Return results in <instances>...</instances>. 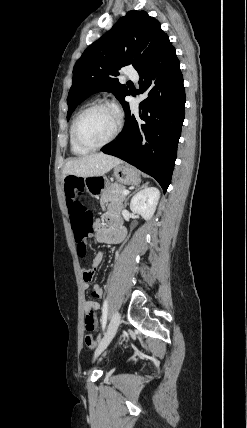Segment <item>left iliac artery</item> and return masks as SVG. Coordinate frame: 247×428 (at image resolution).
Instances as JSON below:
<instances>
[{
	"label": "left iliac artery",
	"instance_id": "1",
	"mask_svg": "<svg viewBox=\"0 0 247 428\" xmlns=\"http://www.w3.org/2000/svg\"><path fill=\"white\" fill-rule=\"evenodd\" d=\"M107 314H108V301L107 299L104 300L103 308H102V329H105L106 323H107Z\"/></svg>",
	"mask_w": 247,
	"mask_h": 428
}]
</instances>
